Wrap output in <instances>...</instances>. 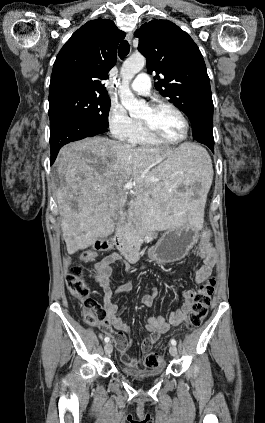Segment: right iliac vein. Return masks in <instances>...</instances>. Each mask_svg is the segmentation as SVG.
Here are the masks:
<instances>
[{
    "instance_id": "1",
    "label": "right iliac vein",
    "mask_w": 265,
    "mask_h": 423,
    "mask_svg": "<svg viewBox=\"0 0 265 423\" xmlns=\"http://www.w3.org/2000/svg\"><path fill=\"white\" fill-rule=\"evenodd\" d=\"M104 350H105V353H106L107 355H110V354L112 353V351H113V346H112V344H111V343H107V344L104 346Z\"/></svg>"
}]
</instances>
